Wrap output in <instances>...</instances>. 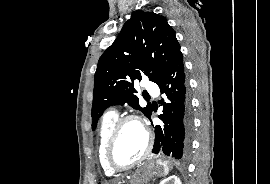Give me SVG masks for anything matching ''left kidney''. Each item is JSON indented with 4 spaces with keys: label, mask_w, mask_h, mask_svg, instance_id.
<instances>
[{
    "label": "left kidney",
    "mask_w": 270,
    "mask_h": 184,
    "mask_svg": "<svg viewBox=\"0 0 270 184\" xmlns=\"http://www.w3.org/2000/svg\"><path fill=\"white\" fill-rule=\"evenodd\" d=\"M160 184H182V183H181V180L177 176L172 175V176L162 180L160 182Z\"/></svg>",
    "instance_id": "obj_1"
}]
</instances>
